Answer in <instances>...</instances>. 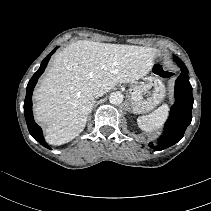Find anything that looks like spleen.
<instances>
[{"label":"spleen","mask_w":211,"mask_h":211,"mask_svg":"<svg viewBox=\"0 0 211 211\" xmlns=\"http://www.w3.org/2000/svg\"><path fill=\"white\" fill-rule=\"evenodd\" d=\"M169 113V106L163 104L149 115L140 116L137 119L138 126L146 132L152 133L162 127Z\"/></svg>","instance_id":"obj_1"}]
</instances>
